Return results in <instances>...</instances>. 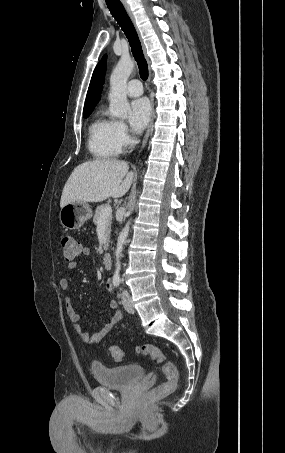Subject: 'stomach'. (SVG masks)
I'll use <instances>...</instances> for the list:
<instances>
[{
    "mask_svg": "<svg viewBox=\"0 0 285 453\" xmlns=\"http://www.w3.org/2000/svg\"><path fill=\"white\" fill-rule=\"evenodd\" d=\"M92 217V210L87 202L78 201L66 204L59 212L62 226L69 230L79 229Z\"/></svg>",
    "mask_w": 285,
    "mask_h": 453,
    "instance_id": "stomach-1",
    "label": "stomach"
}]
</instances>
